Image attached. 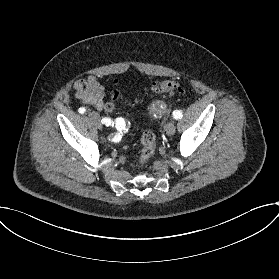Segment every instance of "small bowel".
<instances>
[{"mask_svg":"<svg viewBox=\"0 0 279 279\" xmlns=\"http://www.w3.org/2000/svg\"><path fill=\"white\" fill-rule=\"evenodd\" d=\"M75 96L83 104L102 110L106 96L105 87L96 76H89L74 85Z\"/></svg>","mask_w":279,"mask_h":279,"instance_id":"c3829d8e","label":"small bowel"}]
</instances>
